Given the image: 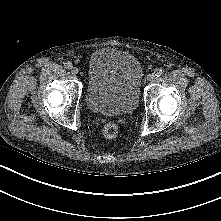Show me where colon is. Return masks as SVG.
<instances>
[{"label":"colon","mask_w":221,"mask_h":221,"mask_svg":"<svg viewBox=\"0 0 221 221\" xmlns=\"http://www.w3.org/2000/svg\"><path fill=\"white\" fill-rule=\"evenodd\" d=\"M103 135L107 139H114L119 133V127L114 122H108L103 127Z\"/></svg>","instance_id":"1"}]
</instances>
